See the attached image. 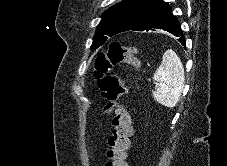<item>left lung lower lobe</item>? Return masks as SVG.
<instances>
[{
	"label": "left lung lower lobe",
	"instance_id": "0a47b994",
	"mask_svg": "<svg viewBox=\"0 0 227 166\" xmlns=\"http://www.w3.org/2000/svg\"><path fill=\"white\" fill-rule=\"evenodd\" d=\"M154 29H162L179 37L178 41L185 46V38L180 24L172 14L168 3L163 0H147L129 30L148 31Z\"/></svg>",
	"mask_w": 227,
	"mask_h": 166
}]
</instances>
